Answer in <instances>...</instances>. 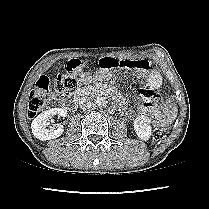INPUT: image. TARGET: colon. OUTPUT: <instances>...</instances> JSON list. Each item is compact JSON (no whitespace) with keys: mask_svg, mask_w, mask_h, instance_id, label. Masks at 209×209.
I'll list each match as a JSON object with an SVG mask.
<instances>
[{"mask_svg":"<svg viewBox=\"0 0 209 209\" xmlns=\"http://www.w3.org/2000/svg\"><path fill=\"white\" fill-rule=\"evenodd\" d=\"M100 67L105 68H122L132 69L144 66L141 61H116L104 58L99 62ZM83 66L77 60L69 61L65 70L59 73L52 81L47 76H41L32 90L28 102L27 114L29 117H35L44 107L55 101L54 89L56 92H68L75 89L79 83V74L82 72ZM168 132L167 126L159 127L156 132L157 138H163Z\"/></svg>","mask_w":209,"mask_h":209,"instance_id":"1","label":"colon"}]
</instances>
